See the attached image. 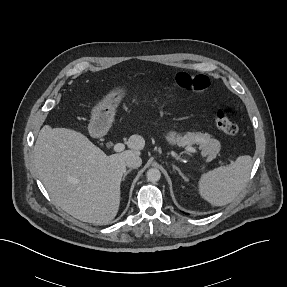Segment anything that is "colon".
I'll use <instances>...</instances> for the list:
<instances>
[{
  "label": "colon",
  "instance_id": "1",
  "mask_svg": "<svg viewBox=\"0 0 287 287\" xmlns=\"http://www.w3.org/2000/svg\"><path fill=\"white\" fill-rule=\"evenodd\" d=\"M174 81L180 88L196 93H203L209 87V79L203 74L180 72L175 76ZM215 125L217 129L228 135H235L239 131L238 124L231 119L230 112L227 109L217 111L215 115Z\"/></svg>",
  "mask_w": 287,
  "mask_h": 287
}]
</instances>
